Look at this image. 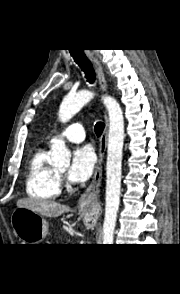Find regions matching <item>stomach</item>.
Segmentation results:
<instances>
[{
  "instance_id": "0dacf381",
  "label": "stomach",
  "mask_w": 180,
  "mask_h": 294,
  "mask_svg": "<svg viewBox=\"0 0 180 294\" xmlns=\"http://www.w3.org/2000/svg\"><path fill=\"white\" fill-rule=\"evenodd\" d=\"M86 218L85 215H83ZM15 234L23 244H39L47 235L48 224L45 218L27 208H16L11 215Z\"/></svg>"
}]
</instances>
